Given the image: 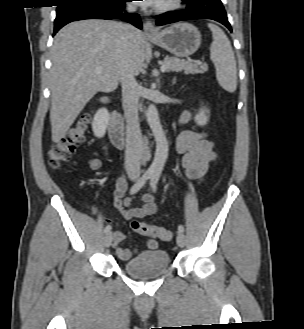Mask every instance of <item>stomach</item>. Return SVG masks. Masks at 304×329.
Masks as SVG:
<instances>
[{"instance_id":"0dacf381","label":"stomach","mask_w":304,"mask_h":329,"mask_svg":"<svg viewBox=\"0 0 304 329\" xmlns=\"http://www.w3.org/2000/svg\"><path fill=\"white\" fill-rule=\"evenodd\" d=\"M149 40L177 57H187L200 47L201 34L194 25L179 22L160 31Z\"/></svg>"}]
</instances>
